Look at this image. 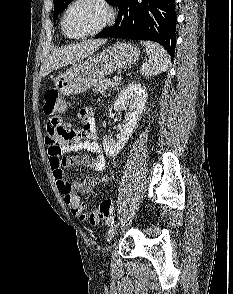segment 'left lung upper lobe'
Segmentation results:
<instances>
[{
	"label": "left lung upper lobe",
	"mask_w": 233,
	"mask_h": 294,
	"mask_svg": "<svg viewBox=\"0 0 233 294\" xmlns=\"http://www.w3.org/2000/svg\"><path fill=\"white\" fill-rule=\"evenodd\" d=\"M73 0H53L54 2V21L57 19L58 15L72 2ZM111 4L117 5L120 0H106Z\"/></svg>",
	"instance_id": "obj_1"
}]
</instances>
